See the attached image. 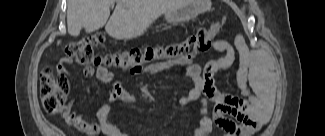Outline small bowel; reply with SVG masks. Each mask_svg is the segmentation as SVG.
Masks as SVG:
<instances>
[{"label":"small bowel","instance_id":"obj_1","mask_svg":"<svg viewBox=\"0 0 325 136\" xmlns=\"http://www.w3.org/2000/svg\"><path fill=\"white\" fill-rule=\"evenodd\" d=\"M216 34L211 32L208 48L221 53L222 56L207 62L204 66L189 63L183 78L191 81L193 87L175 103L178 106H186L192 102L200 103V120L193 131L195 136L207 135L214 122L228 135H250L259 126L266 124L270 118L273 93L269 60L264 51H250L244 38L239 34L233 42L218 39ZM237 59L239 66L236 72V84L240 95L219 92L214 85V75L232 67ZM70 64L63 60L61 66L56 68V79L59 81L64 98L74 97V92L68 87L70 78L66 74V67ZM184 64L185 62H168L151 68L147 73L154 75L161 69ZM84 74L86 77L95 75L100 82L112 85L109 100L98 106L95 122H88L83 115L76 113L70 104L65 112L67 122L89 136L99 133L105 136H126L111 121V102L118 100L134 103L135 96L127 91L106 68L97 67L95 71L92 68H85ZM211 102L215 103L213 108L210 107Z\"/></svg>","mask_w":325,"mask_h":136}]
</instances>
